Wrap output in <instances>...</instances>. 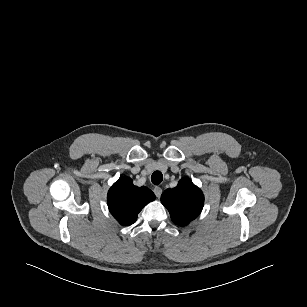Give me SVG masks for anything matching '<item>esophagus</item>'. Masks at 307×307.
<instances>
[{
	"label": "esophagus",
	"mask_w": 307,
	"mask_h": 307,
	"mask_svg": "<svg viewBox=\"0 0 307 307\" xmlns=\"http://www.w3.org/2000/svg\"><path fill=\"white\" fill-rule=\"evenodd\" d=\"M153 191H154L156 197L160 198V196L162 194V189L160 187L156 186V187H154Z\"/></svg>",
	"instance_id": "obj_1"
}]
</instances>
